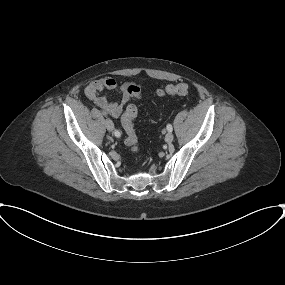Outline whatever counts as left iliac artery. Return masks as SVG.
<instances>
[{
  "label": "left iliac artery",
  "mask_w": 285,
  "mask_h": 285,
  "mask_svg": "<svg viewBox=\"0 0 285 285\" xmlns=\"http://www.w3.org/2000/svg\"><path fill=\"white\" fill-rule=\"evenodd\" d=\"M167 130H168L169 132H172V125H171V124H167Z\"/></svg>",
  "instance_id": "44dca946"
}]
</instances>
